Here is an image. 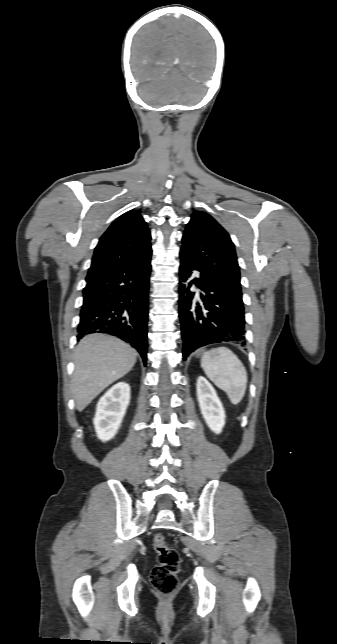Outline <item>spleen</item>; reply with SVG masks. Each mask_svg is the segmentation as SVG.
<instances>
[{"mask_svg": "<svg viewBox=\"0 0 337 644\" xmlns=\"http://www.w3.org/2000/svg\"><path fill=\"white\" fill-rule=\"evenodd\" d=\"M201 367L206 376L226 392L232 404L240 403L247 387V372L231 350L219 347L205 352L201 359Z\"/></svg>", "mask_w": 337, "mask_h": 644, "instance_id": "3e777b00", "label": "spleen"}]
</instances>
